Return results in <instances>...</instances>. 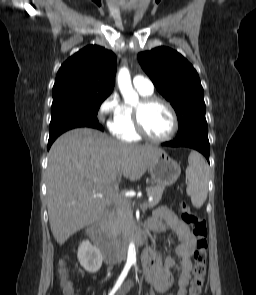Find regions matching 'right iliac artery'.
Wrapping results in <instances>:
<instances>
[{"label": "right iliac artery", "instance_id": "right-iliac-artery-1", "mask_svg": "<svg viewBox=\"0 0 256 295\" xmlns=\"http://www.w3.org/2000/svg\"><path fill=\"white\" fill-rule=\"evenodd\" d=\"M132 263L127 262L122 273L120 274L115 286L113 289L110 291L108 295H114L115 292L120 288L121 284L123 283L124 279L126 278L130 268H131Z\"/></svg>", "mask_w": 256, "mask_h": 295}]
</instances>
